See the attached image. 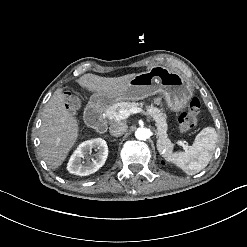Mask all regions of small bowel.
I'll list each match as a JSON object with an SVG mask.
<instances>
[{
	"label": "small bowel",
	"mask_w": 247,
	"mask_h": 247,
	"mask_svg": "<svg viewBox=\"0 0 247 247\" xmlns=\"http://www.w3.org/2000/svg\"><path fill=\"white\" fill-rule=\"evenodd\" d=\"M154 102H155V104H157V105H161V102H160L159 100H155Z\"/></svg>",
	"instance_id": "obj_1"
}]
</instances>
